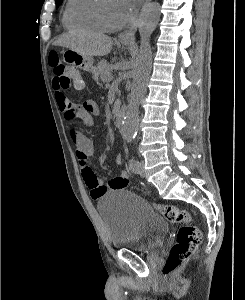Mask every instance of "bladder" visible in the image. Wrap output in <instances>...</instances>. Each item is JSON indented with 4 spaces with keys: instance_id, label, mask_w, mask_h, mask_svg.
I'll return each instance as SVG.
<instances>
[{
    "instance_id": "31cf9c89",
    "label": "bladder",
    "mask_w": 245,
    "mask_h": 300,
    "mask_svg": "<svg viewBox=\"0 0 245 300\" xmlns=\"http://www.w3.org/2000/svg\"><path fill=\"white\" fill-rule=\"evenodd\" d=\"M97 209L115 249L152 252L169 231L167 222L143 198L126 190L107 192L99 198Z\"/></svg>"
}]
</instances>
